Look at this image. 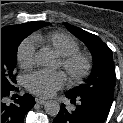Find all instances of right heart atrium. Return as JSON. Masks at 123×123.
<instances>
[{
	"label": "right heart atrium",
	"mask_w": 123,
	"mask_h": 123,
	"mask_svg": "<svg viewBox=\"0 0 123 123\" xmlns=\"http://www.w3.org/2000/svg\"><path fill=\"white\" fill-rule=\"evenodd\" d=\"M36 45L31 38L23 41L17 51V60L24 69L31 68L35 63Z\"/></svg>",
	"instance_id": "1"
}]
</instances>
